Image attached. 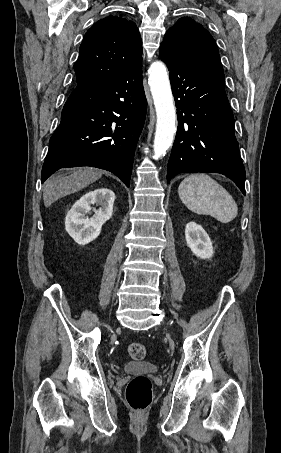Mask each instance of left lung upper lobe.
Instances as JSON below:
<instances>
[{
    "label": "left lung upper lobe",
    "mask_w": 281,
    "mask_h": 453,
    "mask_svg": "<svg viewBox=\"0 0 281 453\" xmlns=\"http://www.w3.org/2000/svg\"><path fill=\"white\" fill-rule=\"evenodd\" d=\"M160 48L190 65L222 68L213 37L201 24L188 17L180 18L169 29Z\"/></svg>",
    "instance_id": "5c2ea615"
}]
</instances>
